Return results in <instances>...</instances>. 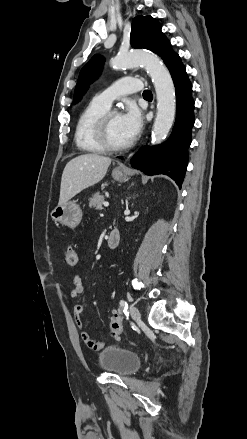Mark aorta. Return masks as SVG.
Segmentation results:
<instances>
[{
	"label": "aorta",
	"instance_id": "aorta-1",
	"mask_svg": "<svg viewBox=\"0 0 247 439\" xmlns=\"http://www.w3.org/2000/svg\"><path fill=\"white\" fill-rule=\"evenodd\" d=\"M140 64L144 65L155 86L157 114L152 130V143L159 144L168 135L176 110L175 88L168 69L157 56L145 52L119 53L110 61L115 70Z\"/></svg>",
	"mask_w": 247,
	"mask_h": 439
}]
</instances>
